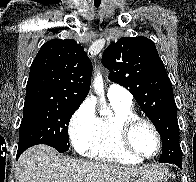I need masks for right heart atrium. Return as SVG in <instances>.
Segmentation results:
<instances>
[{
	"label": "right heart atrium",
	"mask_w": 196,
	"mask_h": 182,
	"mask_svg": "<svg viewBox=\"0 0 196 182\" xmlns=\"http://www.w3.org/2000/svg\"><path fill=\"white\" fill-rule=\"evenodd\" d=\"M98 125L93 105L85 101L75 111L70 119L69 134L75 150L86 154L91 148Z\"/></svg>",
	"instance_id": "right-heart-atrium-1"
}]
</instances>
